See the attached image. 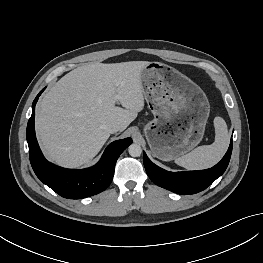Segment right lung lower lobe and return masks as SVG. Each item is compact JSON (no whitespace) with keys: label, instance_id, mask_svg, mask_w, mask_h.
<instances>
[{"label":"right lung lower lobe","instance_id":"98d812e1","mask_svg":"<svg viewBox=\"0 0 263 263\" xmlns=\"http://www.w3.org/2000/svg\"><path fill=\"white\" fill-rule=\"evenodd\" d=\"M42 92L43 90L33 101L26 133L30 162L35 174L53 191L68 199H82L104 191L113 179L118 157L132 143V139L112 142L107 146L101 160L91 168L72 170L48 162L39 148L34 128L35 105Z\"/></svg>","mask_w":263,"mask_h":263}]
</instances>
